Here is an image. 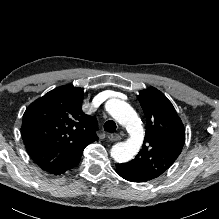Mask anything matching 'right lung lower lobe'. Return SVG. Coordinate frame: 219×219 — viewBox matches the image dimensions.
<instances>
[{
  "label": "right lung lower lobe",
  "instance_id": "1",
  "mask_svg": "<svg viewBox=\"0 0 219 219\" xmlns=\"http://www.w3.org/2000/svg\"><path fill=\"white\" fill-rule=\"evenodd\" d=\"M75 166H76V165H75ZM73 167H74V166H73ZM73 167H71V168H73ZM71 168H69V169H71ZM69 169L62 170V171L56 173L55 175H60V174H62V173H64V172L68 171Z\"/></svg>",
  "mask_w": 219,
  "mask_h": 219
}]
</instances>
